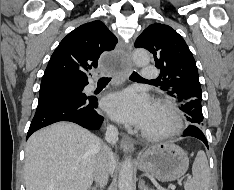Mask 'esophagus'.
<instances>
[{
	"label": "esophagus",
	"instance_id": "obj_1",
	"mask_svg": "<svg viewBox=\"0 0 234 190\" xmlns=\"http://www.w3.org/2000/svg\"><path fill=\"white\" fill-rule=\"evenodd\" d=\"M122 48H123L124 57L127 59L129 63L127 66L129 70L131 68V49H132L131 44H124ZM120 147L126 153H131L134 151V144L129 138H122L120 141Z\"/></svg>",
	"mask_w": 234,
	"mask_h": 190
}]
</instances>
